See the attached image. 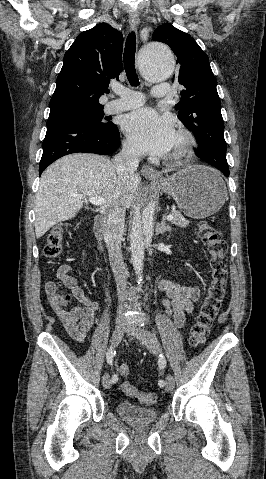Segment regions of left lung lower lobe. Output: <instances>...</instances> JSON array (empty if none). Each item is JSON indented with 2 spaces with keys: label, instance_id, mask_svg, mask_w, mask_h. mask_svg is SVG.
<instances>
[{
  "label": "left lung lower lobe",
  "instance_id": "0a47b994",
  "mask_svg": "<svg viewBox=\"0 0 266 479\" xmlns=\"http://www.w3.org/2000/svg\"><path fill=\"white\" fill-rule=\"evenodd\" d=\"M217 169H219L226 177L229 176V167H222Z\"/></svg>",
  "mask_w": 266,
  "mask_h": 479
}]
</instances>
